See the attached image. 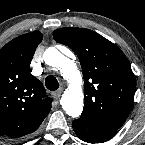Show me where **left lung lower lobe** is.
Instances as JSON below:
<instances>
[{"label": "left lung lower lobe", "mask_w": 145, "mask_h": 145, "mask_svg": "<svg viewBox=\"0 0 145 145\" xmlns=\"http://www.w3.org/2000/svg\"><path fill=\"white\" fill-rule=\"evenodd\" d=\"M73 129L77 136L88 143H101L111 139L116 133V130H110L95 126L94 124L79 118L72 123Z\"/></svg>", "instance_id": "left-lung-lower-lobe-1"}]
</instances>
